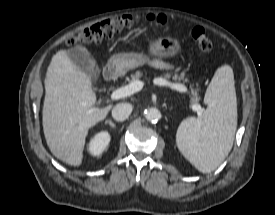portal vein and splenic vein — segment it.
Listing matches in <instances>:
<instances>
[{"mask_svg":"<svg viewBox=\"0 0 275 215\" xmlns=\"http://www.w3.org/2000/svg\"><path fill=\"white\" fill-rule=\"evenodd\" d=\"M153 83L155 85H159V86H168L171 89L182 92V93L187 92V88L185 85L171 83L161 77L154 78ZM143 86H144V82H142V81L138 80V81L132 82L124 87L118 88L115 91H113L110 95V98H111V100H118V99L130 96V95L140 91L143 88ZM192 109L194 111H196L199 116L202 115V108L199 104L192 105Z\"/></svg>","mask_w":275,"mask_h":215,"instance_id":"obj_1","label":"portal vein and splenic vein"}]
</instances>
